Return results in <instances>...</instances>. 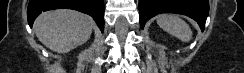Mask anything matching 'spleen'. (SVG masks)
I'll list each match as a JSON object with an SVG mask.
<instances>
[{"label": "spleen", "instance_id": "obj_1", "mask_svg": "<svg viewBox=\"0 0 244 73\" xmlns=\"http://www.w3.org/2000/svg\"><path fill=\"white\" fill-rule=\"evenodd\" d=\"M157 24L164 31L183 42H188L192 38L190 26L177 15H160L157 19Z\"/></svg>", "mask_w": 244, "mask_h": 73}]
</instances>
